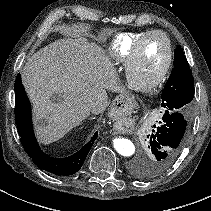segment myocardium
Returning a JSON list of instances; mask_svg holds the SVG:
<instances>
[{
	"label": "myocardium",
	"mask_w": 211,
	"mask_h": 211,
	"mask_svg": "<svg viewBox=\"0 0 211 211\" xmlns=\"http://www.w3.org/2000/svg\"><path fill=\"white\" fill-rule=\"evenodd\" d=\"M152 35H160L164 38V40L166 41V45H167V57L166 60L163 64V66L161 67V69L159 70V72L157 73V75L148 83H139L136 81L135 79V69L137 67L139 58H140V53H141V49L142 46L144 44V42L146 41V39ZM172 60H173V47H172V43L169 39V37L162 31L160 30H151L148 31L147 33H145L143 36H141L137 42L135 43L131 56L128 60V62L126 63V78L127 81L129 83V85L136 91L139 92H152L153 90H155L165 79V77L167 76L170 67L172 65Z\"/></svg>",
	"instance_id": "f54148a6"
}]
</instances>
